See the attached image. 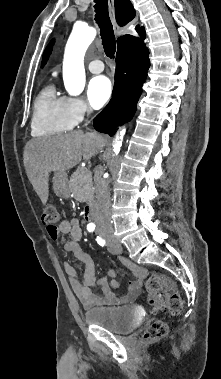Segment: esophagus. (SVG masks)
<instances>
[{"label": "esophagus", "mask_w": 221, "mask_h": 379, "mask_svg": "<svg viewBox=\"0 0 221 379\" xmlns=\"http://www.w3.org/2000/svg\"><path fill=\"white\" fill-rule=\"evenodd\" d=\"M107 1H108L110 19L113 24L114 32L116 36L118 37L120 36V33H121V27L116 22L114 0H107Z\"/></svg>", "instance_id": "1"}]
</instances>
